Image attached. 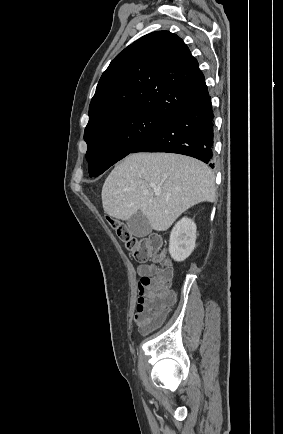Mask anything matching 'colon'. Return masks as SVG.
<instances>
[{"mask_svg":"<svg viewBox=\"0 0 283 434\" xmlns=\"http://www.w3.org/2000/svg\"><path fill=\"white\" fill-rule=\"evenodd\" d=\"M107 221L138 262L153 261L158 265L150 275L142 276L138 281L139 297L134 322L142 332H149L162 323L174 301L170 290L172 269L158 237L135 236L120 221L111 217H107Z\"/></svg>","mask_w":283,"mask_h":434,"instance_id":"colon-1","label":"colon"}]
</instances>
